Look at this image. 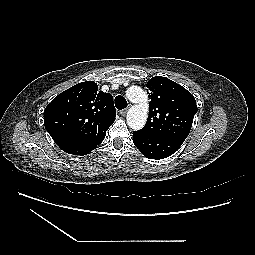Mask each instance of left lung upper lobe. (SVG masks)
I'll return each instance as SVG.
<instances>
[{"label":"left lung upper lobe","mask_w":255,"mask_h":255,"mask_svg":"<svg viewBox=\"0 0 255 255\" xmlns=\"http://www.w3.org/2000/svg\"><path fill=\"white\" fill-rule=\"evenodd\" d=\"M147 88L151 101L142 135H171L186 138L191 130L197 105L194 96L174 81L152 77Z\"/></svg>","instance_id":"left-lung-upper-lobe-1"}]
</instances>
